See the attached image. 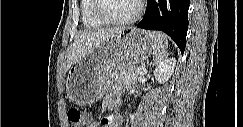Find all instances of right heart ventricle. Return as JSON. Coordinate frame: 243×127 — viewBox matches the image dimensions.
I'll use <instances>...</instances> for the list:
<instances>
[{"label": "right heart ventricle", "instance_id": "e07e8e85", "mask_svg": "<svg viewBox=\"0 0 243 127\" xmlns=\"http://www.w3.org/2000/svg\"><path fill=\"white\" fill-rule=\"evenodd\" d=\"M94 0H82L80 2L81 21L85 28L95 29L105 25L95 15Z\"/></svg>", "mask_w": 243, "mask_h": 127}]
</instances>
